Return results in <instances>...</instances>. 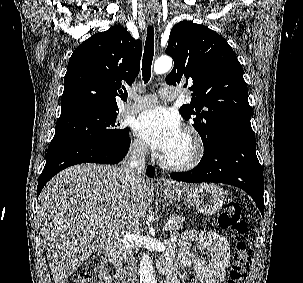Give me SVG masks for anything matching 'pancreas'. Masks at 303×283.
<instances>
[{
    "label": "pancreas",
    "instance_id": "cf45deb5",
    "mask_svg": "<svg viewBox=\"0 0 303 283\" xmlns=\"http://www.w3.org/2000/svg\"><path fill=\"white\" fill-rule=\"evenodd\" d=\"M170 220H172V223L169 225L170 227L169 231L175 232L182 228L185 219L177 214H173L170 216ZM117 247H118V252H117L118 262L121 265L122 261L126 259V254L129 251L130 247L127 244L121 242L117 244Z\"/></svg>",
    "mask_w": 303,
    "mask_h": 283
}]
</instances>
